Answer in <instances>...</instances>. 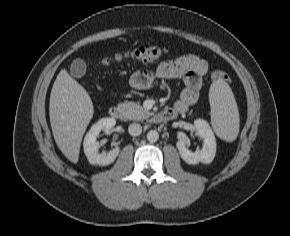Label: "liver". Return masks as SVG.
<instances>
[{"instance_id": "obj_1", "label": "liver", "mask_w": 290, "mask_h": 236, "mask_svg": "<svg viewBox=\"0 0 290 236\" xmlns=\"http://www.w3.org/2000/svg\"><path fill=\"white\" fill-rule=\"evenodd\" d=\"M93 113L86 90L65 69L61 70L50 94V124L57 146L73 163L78 162L81 141Z\"/></svg>"}]
</instances>
